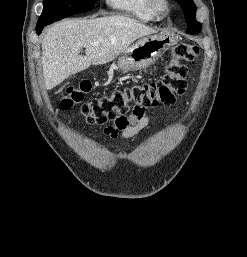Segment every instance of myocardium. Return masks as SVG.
Segmentation results:
<instances>
[{
    "mask_svg": "<svg viewBox=\"0 0 247 257\" xmlns=\"http://www.w3.org/2000/svg\"><path fill=\"white\" fill-rule=\"evenodd\" d=\"M151 9L157 18L164 17L170 10L168 0H151Z\"/></svg>",
    "mask_w": 247,
    "mask_h": 257,
    "instance_id": "1",
    "label": "myocardium"
}]
</instances>
